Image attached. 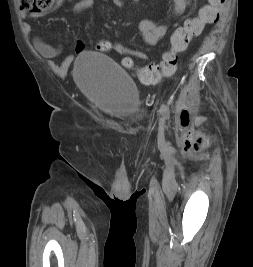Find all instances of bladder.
Here are the masks:
<instances>
[{
    "label": "bladder",
    "instance_id": "31cf9c89",
    "mask_svg": "<svg viewBox=\"0 0 253 267\" xmlns=\"http://www.w3.org/2000/svg\"><path fill=\"white\" fill-rule=\"evenodd\" d=\"M78 88L99 110L114 120H133L142 106L141 93L131 76L107 56L82 52L73 68Z\"/></svg>",
    "mask_w": 253,
    "mask_h": 267
}]
</instances>
